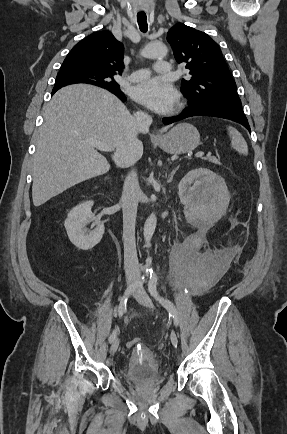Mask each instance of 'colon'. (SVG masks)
I'll list each match as a JSON object with an SVG mask.
<instances>
[{
  "label": "colon",
  "instance_id": "colon-1",
  "mask_svg": "<svg viewBox=\"0 0 287 434\" xmlns=\"http://www.w3.org/2000/svg\"><path fill=\"white\" fill-rule=\"evenodd\" d=\"M140 344H141L140 339L135 338V339L130 340V341L127 343V347H129V348H134V347L139 346Z\"/></svg>",
  "mask_w": 287,
  "mask_h": 434
}]
</instances>
